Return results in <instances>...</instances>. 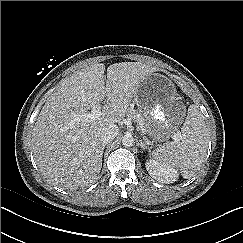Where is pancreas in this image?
Returning <instances> with one entry per match:
<instances>
[{"label": "pancreas", "instance_id": "obj_1", "mask_svg": "<svg viewBox=\"0 0 243 243\" xmlns=\"http://www.w3.org/2000/svg\"><path fill=\"white\" fill-rule=\"evenodd\" d=\"M127 115L132 117L139 124L143 133H147L148 125L145 118L142 116L140 112L133 108H130L127 112Z\"/></svg>", "mask_w": 243, "mask_h": 243}]
</instances>
